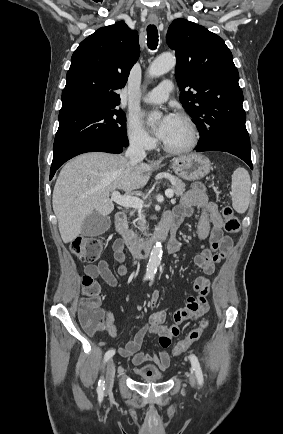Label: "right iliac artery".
I'll list each match as a JSON object with an SVG mask.
<instances>
[{
	"instance_id": "1",
	"label": "right iliac artery",
	"mask_w": 283,
	"mask_h": 434,
	"mask_svg": "<svg viewBox=\"0 0 283 434\" xmlns=\"http://www.w3.org/2000/svg\"><path fill=\"white\" fill-rule=\"evenodd\" d=\"M147 278H145L144 280H146ZM115 354V350L114 349H110L105 353L104 356V361L107 362L113 355ZM105 381L103 379V377H101V379L98 382V388H97V392L99 395H102L104 390H105Z\"/></svg>"
}]
</instances>
